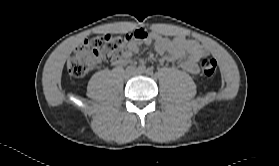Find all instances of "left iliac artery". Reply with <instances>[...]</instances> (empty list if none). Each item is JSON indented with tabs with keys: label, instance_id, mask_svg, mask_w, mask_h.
Returning a JSON list of instances; mask_svg holds the SVG:
<instances>
[{
	"label": "left iliac artery",
	"instance_id": "obj_1",
	"mask_svg": "<svg viewBox=\"0 0 279 166\" xmlns=\"http://www.w3.org/2000/svg\"><path fill=\"white\" fill-rule=\"evenodd\" d=\"M146 73H147L148 75H152V74H153V69H152V68H148V69L146 70Z\"/></svg>",
	"mask_w": 279,
	"mask_h": 166
}]
</instances>
